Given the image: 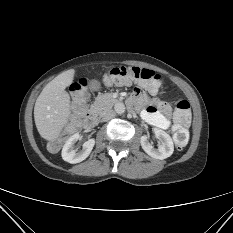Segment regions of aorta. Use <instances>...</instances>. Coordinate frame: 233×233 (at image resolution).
<instances>
[{
    "label": "aorta",
    "mask_w": 233,
    "mask_h": 233,
    "mask_svg": "<svg viewBox=\"0 0 233 233\" xmlns=\"http://www.w3.org/2000/svg\"><path fill=\"white\" fill-rule=\"evenodd\" d=\"M115 111L118 113V114H122L125 112V106L123 103H118L116 106H115Z\"/></svg>",
    "instance_id": "obj_1"
}]
</instances>
